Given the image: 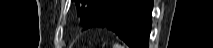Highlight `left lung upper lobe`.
I'll return each instance as SVG.
<instances>
[{"label": "left lung upper lobe", "instance_id": "left-lung-upper-lobe-1", "mask_svg": "<svg viewBox=\"0 0 213 48\" xmlns=\"http://www.w3.org/2000/svg\"><path fill=\"white\" fill-rule=\"evenodd\" d=\"M80 15L81 25L84 26L89 19L105 4L111 0H74Z\"/></svg>", "mask_w": 213, "mask_h": 48}]
</instances>
